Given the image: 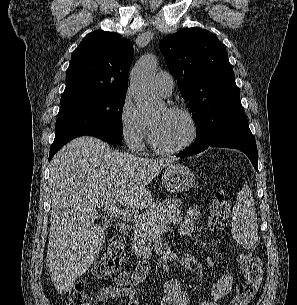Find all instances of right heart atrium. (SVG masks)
<instances>
[{
	"mask_svg": "<svg viewBox=\"0 0 297 305\" xmlns=\"http://www.w3.org/2000/svg\"><path fill=\"white\" fill-rule=\"evenodd\" d=\"M119 130L129 150L139 152L148 137L147 121L136 108L131 93H125L119 109Z\"/></svg>",
	"mask_w": 297,
	"mask_h": 305,
	"instance_id": "d8ad5b80",
	"label": "right heart atrium"
}]
</instances>
